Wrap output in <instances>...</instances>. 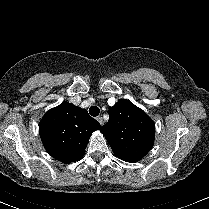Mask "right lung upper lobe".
Returning <instances> with one entry per match:
<instances>
[{
  "mask_svg": "<svg viewBox=\"0 0 209 209\" xmlns=\"http://www.w3.org/2000/svg\"><path fill=\"white\" fill-rule=\"evenodd\" d=\"M100 127L85 109L64 102L43 116L39 134L53 158L70 163L83 157L90 135Z\"/></svg>",
  "mask_w": 209,
  "mask_h": 209,
  "instance_id": "right-lung-upper-lobe-1",
  "label": "right lung upper lobe"
}]
</instances>
